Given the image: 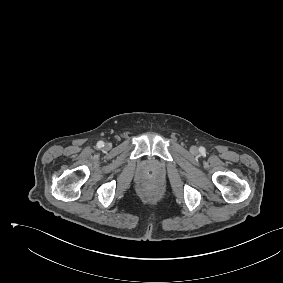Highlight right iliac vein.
Listing matches in <instances>:
<instances>
[{
  "label": "right iliac vein",
  "instance_id": "right-iliac-vein-1",
  "mask_svg": "<svg viewBox=\"0 0 283 283\" xmlns=\"http://www.w3.org/2000/svg\"><path fill=\"white\" fill-rule=\"evenodd\" d=\"M109 146H110L109 144H106V148H109Z\"/></svg>",
  "mask_w": 283,
  "mask_h": 283
}]
</instances>
